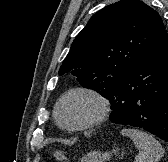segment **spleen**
<instances>
[{"instance_id": "obj_1", "label": "spleen", "mask_w": 168, "mask_h": 162, "mask_svg": "<svg viewBox=\"0 0 168 162\" xmlns=\"http://www.w3.org/2000/svg\"><path fill=\"white\" fill-rule=\"evenodd\" d=\"M120 133L132 139L140 150L135 162H158L164 155V149L152 135L139 129H122Z\"/></svg>"}]
</instances>
